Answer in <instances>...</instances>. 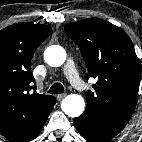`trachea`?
<instances>
[{
    "instance_id": "obj_1",
    "label": "trachea",
    "mask_w": 142,
    "mask_h": 142,
    "mask_svg": "<svg viewBox=\"0 0 142 142\" xmlns=\"http://www.w3.org/2000/svg\"><path fill=\"white\" fill-rule=\"evenodd\" d=\"M48 93L51 94H61L64 93V87L61 83H55L51 86Z\"/></svg>"
}]
</instances>
